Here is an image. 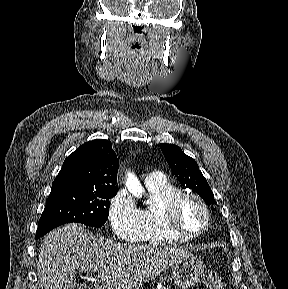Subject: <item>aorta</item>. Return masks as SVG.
Instances as JSON below:
<instances>
[{
  "label": "aorta",
  "instance_id": "762f6f07",
  "mask_svg": "<svg viewBox=\"0 0 288 289\" xmlns=\"http://www.w3.org/2000/svg\"><path fill=\"white\" fill-rule=\"evenodd\" d=\"M126 186L128 190L134 195V196H140L143 192V188L141 184L139 183L137 177L132 174L128 173L127 181H126Z\"/></svg>",
  "mask_w": 288,
  "mask_h": 289
}]
</instances>
